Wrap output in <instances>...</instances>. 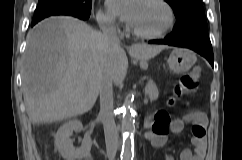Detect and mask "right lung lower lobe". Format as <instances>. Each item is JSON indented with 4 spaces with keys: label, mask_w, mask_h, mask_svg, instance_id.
<instances>
[{
    "label": "right lung lower lobe",
    "mask_w": 242,
    "mask_h": 160,
    "mask_svg": "<svg viewBox=\"0 0 242 160\" xmlns=\"http://www.w3.org/2000/svg\"><path fill=\"white\" fill-rule=\"evenodd\" d=\"M86 20V19H85ZM37 22H39V21H34V22H32V26H34Z\"/></svg>",
    "instance_id": "right-lung-lower-lobe-1"
}]
</instances>
